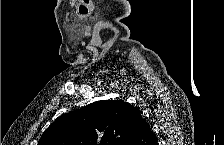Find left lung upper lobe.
I'll list each match as a JSON object with an SVG mask.
<instances>
[{
	"instance_id": "obj_1",
	"label": "left lung upper lobe",
	"mask_w": 224,
	"mask_h": 145,
	"mask_svg": "<svg viewBox=\"0 0 224 145\" xmlns=\"http://www.w3.org/2000/svg\"><path fill=\"white\" fill-rule=\"evenodd\" d=\"M142 117L122 100H101L62 115L38 145H130Z\"/></svg>"
}]
</instances>
